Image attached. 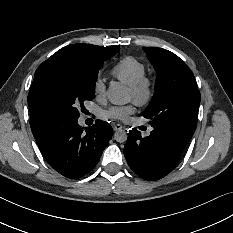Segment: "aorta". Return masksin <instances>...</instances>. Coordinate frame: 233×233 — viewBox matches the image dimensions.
Wrapping results in <instances>:
<instances>
[{
	"label": "aorta",
	"instance_id": "obj_1",
	"mask_svg": "<svg viewBox=\"0 0 233 233\" xmlns=\"http://www.w3.org/2000/svg\"><path fill=\"white\" fill-rule=\"evenodd\" d=\"M107 97L112 104L115 105H126L131 100V94L126 86L119 82H112L107 89ZM127 133L125 130L121 129L114 133V138L117 142L123 143L127 140Z\"/></svg>",
	"mask_w": 233,
	"mask_h": 233
}]
</instances>
